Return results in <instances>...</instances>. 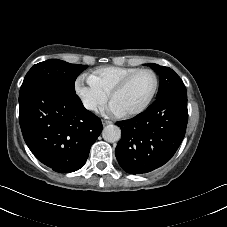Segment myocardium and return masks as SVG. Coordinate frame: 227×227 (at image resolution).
<instances>
[{"mask_svg": "<svg viewBox=\"0 0 227 227\" xmlns=\"http://www.w3.org/2000/svg\"><path fill=\"white\" fill-rule=\"evenodd\" d=\"M143 73H150L154 77V81H155L154 87H153L149 97L146 99V101L140 107H138L134 110L128 111V112H124V115L127 117L139 115V114L143 113L150 106V104L153 101V99L158 91V88H159V78H158L157 73L155 71H153L152 69H140V70L136 71L135 73L126 77L120 83H118L111 91L110 97L113 100L116 95H118L119 93H121L123 90H125L128 87V85L131 83V81L135 77H137Z\"/></svg>", "mask_w": 227, "mask_h": 227, "instance_id": "myocardium-1", "label": "myocardium"}]
</instances>
